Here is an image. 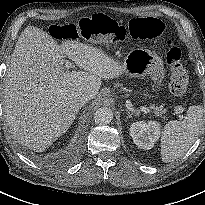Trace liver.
Segmentation results:
<instances>
[{
  "mask_svg": "<svg viewBox=\"0 0 205 205\" xmlns=\"http://www.w3.org/2000/svg\"><path fill=\"white\" fill-rule=\"evenodd\" d=\"M68 56L83 71H65ZM124 73L101 49L77 41L61 45L34 26L21 33L12 53L4 86L3 112L14 138L38 152L50 147L75 120L79 93L93 99L102 79Z\"/></svg>",
  "mask_w": 205,
  "mask_h": 205,
  "instance_id": "6515ba94",
  "label": "liver"
}]
</instances>
